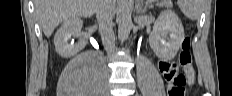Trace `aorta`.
I'll return each instance as SVG.
<instances>
[{
  "label": "aorta",
  "mask_w": 232,
  "mask_h": 96,
  "mask_svg": "<svg viewBox=\"0 0 232 96\" xmlns=\"http://www.w3.org/2000/svg\"><path fill=\"white\" fill-rule=\"evenodd\" d=\"M131 3L129 0H122L121 8L119 11V26H118V37L121 41L128 38L131 27H132V10Z\"/></svg>",
  "instance_id": "762f6f07"
}]
</instances>
